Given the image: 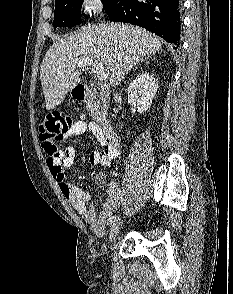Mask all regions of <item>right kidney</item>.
I'll use <instances>...</instances> for the list:
<instances>
[{
    "mask_svg": "<svg viewBox=\"0 0 233 294\" xmlns=\"http://www.w3.org/2000/svg\"><path fill=\"white\" fill-rule=\"evenodd\" d=\"M158 83L156 79L147 72H142L129 84L128 102L138 113H145L152 104L156 95Z\"/></svg>",
    "mask_w": 233,
    "mask_h": 294,
    "instance_id": "obj_1",
    "label": "right kidney"
}]
</instances>
